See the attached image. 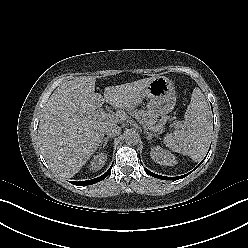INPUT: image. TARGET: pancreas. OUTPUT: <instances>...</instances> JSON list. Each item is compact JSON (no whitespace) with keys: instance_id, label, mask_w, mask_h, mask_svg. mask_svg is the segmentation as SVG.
I'll return each mask as SVG.
<instances>
[{"instance_id":"obj_1","label":"pancreas","mask_w":248,"mask_h":248,"mask_svg":"<svg viewBox=\"0 0 248 248\" xmlns=\"http://www.w3.org/2000/svg\"><path fill=\"white\" fill-rule=\"evenodd\" d=\"M129 113L130 115L134 116V117H139L143 122L146 123V125L150 128L153 127V124L155 123L156 119L154 116L149 115L148 113H146L144 110H134L132 111V109H129ZM160 126L157 127V129H159Z\"/></svg>"}]
</instances>
